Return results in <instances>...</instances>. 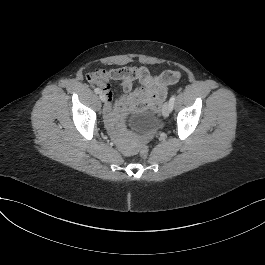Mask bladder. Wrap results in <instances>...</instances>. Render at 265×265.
<instances>
[{
	"instance_id": "1",
	"label": "bladder",
	"mask_w": 265,
	"mask_h": 265,
	"mask_svg": "<svg viewBox=\"0 0 265 265\" xmlns=\"http://www.w3.org/2000/svg\"><path fill=\"white\" fill-rule=\"evenodd\" d=\"M130 125L132 129L137 132L152 130L157 125V113L154 111L140 113L137 117L131 120Z\"/></svg>"
}]
</instances>
